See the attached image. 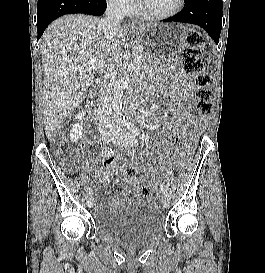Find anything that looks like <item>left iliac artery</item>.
Returning a JSON list of instances; mask_svg holds the SVG:
<instances>
[{
    "label": "left iliac artery",
    "mask_w": 265,
    "mask_h": 273,
    "mask_svg": "<svg viewBox=\"0 0 265 273\" xmlns=\"http://www.w3.org/2000/svg\"><path fill=\"white\" fill-rule=\"evenodd\" d=\"M123 125L126 126L128 128V130L130 132H132L133 134H135V135L139 134V128L136 127L133 123L125 121V122H123ZM161 191L164 194H167V186L164 183L161 185Z\"/></svg>",
    "instance_id": "left-iliac-artery-1"
}]
</instances>
